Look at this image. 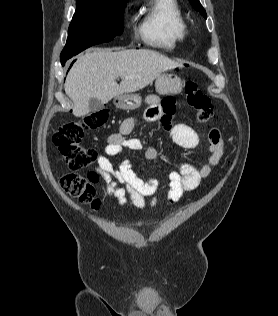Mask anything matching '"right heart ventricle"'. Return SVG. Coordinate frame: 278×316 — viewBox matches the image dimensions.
Returning a JSON list of instances; mask_svg holds the SVG:
<instances>
[{"label": "right heart ventricle", "instance_id": "obj_1", "mask_svg": "<svg viewBox=\"0 0 278 316\" xmlns=\"http://www.w3.org/2000/svg\"><path fill=\"white\" fill-rule=\"evenodd\" d=\"M137 33L144 44L174 50L189 37V27L177 0H148L139 12Z\"/></svg>", "mask_w": 278, "mask_h": 316}]
</instances>
